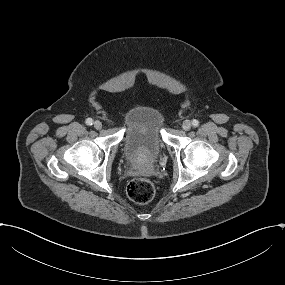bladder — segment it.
<instances>
[{
	"instance_id": "obj_1",
	"label": "bladder",
	"mask_w": 285,
	"mask_h": 285,
	"mask_svg": "<svg viewBox=\"0 0 285 285\" xmlns=\"http://www.w3.org/2000/svg\"><path fill=\"white\" fill-rule=\"evenodd\" d=\"M162 123L163 116L158 109L134 108L127 117L121 143L122 156L154 158L165 145Z\"/></svg>"
}]
</instances>
